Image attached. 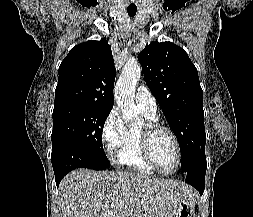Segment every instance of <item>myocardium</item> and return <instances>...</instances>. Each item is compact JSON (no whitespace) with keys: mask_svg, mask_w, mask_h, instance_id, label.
<instances>
[{"mask_svg":"<svg viewBox=\"0 0 253 217\" xmlns=\"http://www.w3.org/2000/svg\"><path fill=\"white\" fill-rule=\"evenodd\" d=\"M160 132H166L167 134H169L175 146L176 165L175 168L170 172H165L160 169V167L155 162L151 152L152 138ZM139 136H140V149L142 156L144 157L145 161L153 168L154 171L164 176H171L179 170L182 157L181 147L176 134L171 128L158 123H146L145 126L139 131Z\"/></svg>","mask_w":253,"mask_h":217,"instance_id":"myocardium-1","label":"myocardium"}]
</instances>
